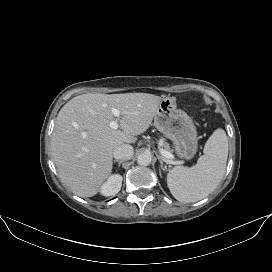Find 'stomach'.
<instances>
[{
	"label": "stomach",
	"mask_w": 272,
	"mask_h": 272,
	"mask_svg": "<svg viewBox=\"0 0 272 272\" xmlns=\"http://www.w3.org/2000/svg\"><path fill=\"white\" fill-rule=\"evenodd\" d=\"M154 125L173 142L180 158L194 157L198 147L197 130L191 117L177 108L174 97L162 99L154 116Z\"/></svg>",
	"instance_id": "obj_1"
}]
</instances>
